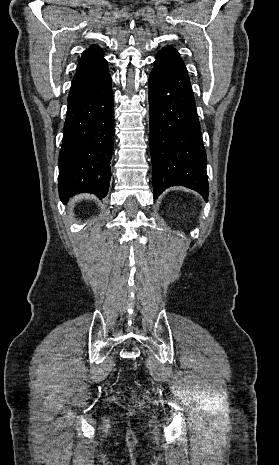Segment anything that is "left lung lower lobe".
I'll return each instance as SVG.
<instances>
[{"instance_id": "0a47b994", "label": "left lung lower lobe", "mask_w": 279, "mask_h": 465, "mask_svg": "<svg viewBox=\"0 0 279 465\" xmlns=\"http://www.w3.org/2000/svg\"><path fill=\"white\" fill-rule=\"evenodd\" d=\"M148 93L154 198L181 185L207 200L206 152L190 79L178 55H156Z\"/></svg>"}]
</instances>
